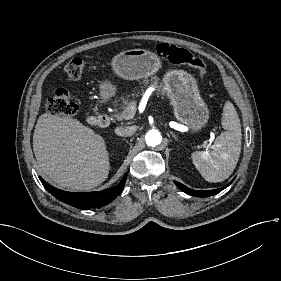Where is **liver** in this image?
<instances>
[{
	"label": "liver",
	"instance_id": "1",
	"mask_svg": "<svg viewBox=\"0 0 281 281\" xmlns=\"http://www.w3.org/2000/svg\"><path fill=\"white\" fill-rule=\"evenodd\" d=\"M33 151L43 173L62 188L90 190L109 174L103 137L77 119L42 114L33 134Z\"/></svg>",
	"mask_w": 281,
	"mask_h": 281
}]
</instances>
